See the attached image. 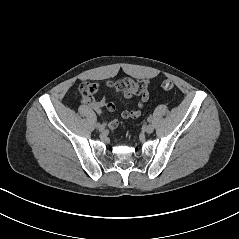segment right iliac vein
I'll list each match as a JSON object with an SVG mask.
<instances>
[{"label": "right iliac vein", "mask_w": 239, "mask_h": 239, "mask_svg": "<svg viewBox=\"0 0 239 239\" xmlns=\"http://www.w3.org/2000/svg\"><path fill=\"white\" fill-rule=\"evenodd\" d=\"M97 128H98V130H99L100 132H102V131L105 130V126L102 125V124H100Z\"/></svg>", "instance_id": "obj_1"}]
</instances>
